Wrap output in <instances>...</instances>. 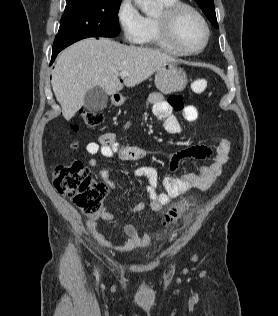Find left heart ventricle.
<instances>
[{
    "mask_svg": "<svg viewBox=\"0 0 278 316\" xmlns=\"http://www.w3.org/2000/svg\"><path fill=\"white\" fill-rule=\"evenodd\" d=\"M180 42L188 49H198L204 42L205 30L200 20L190 11H184L177 21Z\"/></svg>",
    "mask_w": 278,
    "mask_h": 316,
    "instance_id": "obj_1",
    "label": "left heart ventricle"
}]
</instances>
